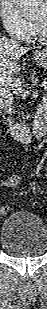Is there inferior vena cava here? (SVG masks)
I'll return each instance as SVG.
<instances>
[{"instance_id":"1","label":"inferior vena cava","mask_w":47,"mask_h":309,"mask_svg":"<svg viewBox=\"0 0 47 309\" xmlns=\"http://www.w3.org/2000/svg\"><path fill=\"white\" fill-rule=\"evenodd\" d=\"M2 98L4 99L3 105L6 109H9L8 112H11V105L13 101V95L10 91H3Z\"/></svg>"}]
</instances>
